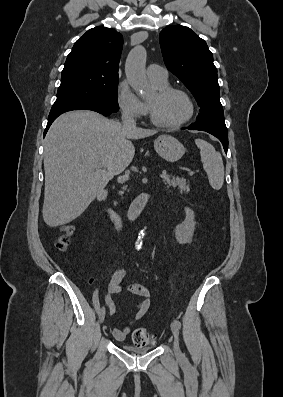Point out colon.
<instances>
[{
    "label": "colon",
    "instance_id": "1",
    "mask_svg": "<svg viewBox=\"0 0 283 397\" xmlns=\"http://www.w3.org/2000/svg\"><path fill=\"white\" fill-rule=\"evenodd\" d=\"M73 233L74 227L72 225H66L62 230V234L57 238L56 247L59 250H65L69 245ZM154 338L155 335L145 328H137L132 335L133 343L136 346L150 345L154 341Z\"/></svg>",
    "mask_w": 283,
    "mask_h": 397
}]
</instances>
